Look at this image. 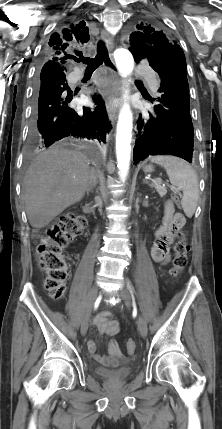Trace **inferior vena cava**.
<instances>
[{"label": "inferior vena cava", "instance_id": "1", "mask_svg": "<svg viewBox=\"0 0 222 429\" xmlns=\"http://www.w3.org/2000/svg\"><path fill=\"white\" fill-rule=\"evenodd\" d=\"M93 179H96L95 174H93Z\"/></svg>", "mask_w": 222, "mask_h": 429}]
</instances>
